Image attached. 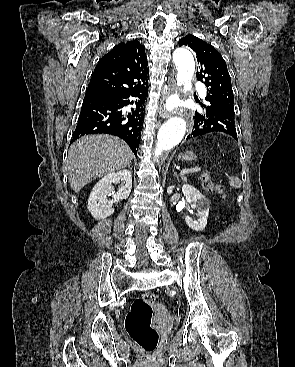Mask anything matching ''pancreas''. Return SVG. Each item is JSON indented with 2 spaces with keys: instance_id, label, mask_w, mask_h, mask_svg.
I'll return each instance as SVG.
<instances>
[{
  "instance_id": "pancreas-1",
  "label": "pancreas",
  "mask_w": 295,
  "mask_h": 367,
  "mask_svg": "<svg viewBox=\"0 0 295 367\" xmlns=\"http://www.w3.org/2000/svg\"><path fill=\"white\" fill-rule=\"evenodd\" d=\"M181 178H182L183 181H185V182L187 181V178L185 176H182Z\"/></svg>"
}]
</instances>
